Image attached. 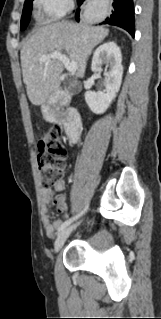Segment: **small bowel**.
<instances>
[{
	"mask_svg": "<svg viewBox=\"0 0 161 319\" xmlns=\"http://www.w3.org/2000/svg\"><path fill=\"white\" fill-rule=\"evenodd\" d=\"M64 189H65V181L64 180H60L54 185V191L57 193L64 191ZM42 201H43V210L46 213L49 206H51L54 203L52 189L45 188L43 190ZM74 210H75V205L71 204L70 211L73 212ZM42 223H43V229H44L45 234L50 238L54 237L55 231L58 230L61 227V225L63 224L60 220H56L53 223H51L49 216L47 214H45L43 216Z\"/></svg>",
	"mask_w": 161,
	"mask_h": 319,
	"instance_id": "1",
	"label": "small bowel"
}]
</instances>
